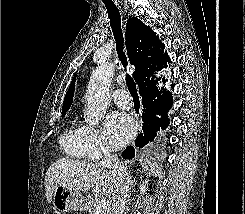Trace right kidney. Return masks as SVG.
Wrapping results in <instances>:
<instances>
[{
	"label": "right kidney",
	"instance_id": "1",
	"mask_svg": "<svg viewBox=\"0 0 245 214\" xmlns=\"http://www.w3.org/2000/svg\"><path fill=\"white\" fill-rule=\"evenodd\" d=\"M145 183H147V181H145ZM140 190H141V193H145L146 192V185L143 183V185L140 186Z\"/></svg>",
	"mask_w": 245,
	"mask_h": 214
}]
</instances>
